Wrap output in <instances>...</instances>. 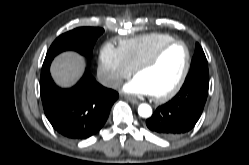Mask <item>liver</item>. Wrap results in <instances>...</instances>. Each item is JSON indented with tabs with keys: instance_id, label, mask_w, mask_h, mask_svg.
Instances as JSON below:
<instances>
[{
	"instance_id": "6515ba94",
	"label": "liver",
	"mask_w": 249,
	"mask_h": 165,
	"mask_svg": "<svg viewBox=\"0 0 249 165\" xmlns=\"http://www.w3.org/2000/svg\"><path fill=\"white\" fill-rule=\"evenodd\" d=\"M84 68V58L75 52L68 51L53 60L51 75L58 86L69 88L81 78Z\"/></svg>"
}]
</instances>
